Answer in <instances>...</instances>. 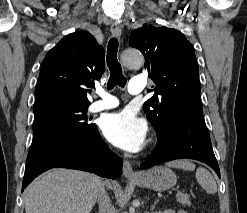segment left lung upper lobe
I'll use <instances>...</instances> for the list:
<instances>
[{
  "mask_svg": "<svg viewBox=\"0 0 247 213\" xmlns=\"http://www.w3.org/2000/svg\"><path fill=\"white\" fill-rule=\"evenodd\" d=\"M129 44L143 53L156 84L154 96L143 106L156 131L177 113L203 116L196 56L181 32L144 24L131 33Z\"/></svg>",
  "mask_w": 247,
  "mask_h": 213,
  "instance_id": "left-lung-upper-lobe-1",
  "label": "left lung upper lobe"
}]
</instances>
